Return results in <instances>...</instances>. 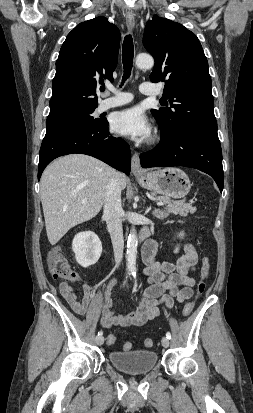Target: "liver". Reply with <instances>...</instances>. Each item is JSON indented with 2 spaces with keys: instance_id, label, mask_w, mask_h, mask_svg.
Listing matches in <instances>:
<instances>
[{
  "instance_id": "6515ba94",
  "label": "liver",
  "mask_w": 253,
  "mask_h": 413,
  "mask_svg": "<svg viewBox=\"0 0 253 413\" xmlns=\"http://www.w3.org/2000/svg\"><path fill=\"white\" fill-rule=\"evenodd\" d=\"M114 172L109 165L84 154L60 157L46 167L40 180V197L51 245L100 212ZM117 178L125 189L126 176L117 172Z\"/></svg>"
}]
</instances>
